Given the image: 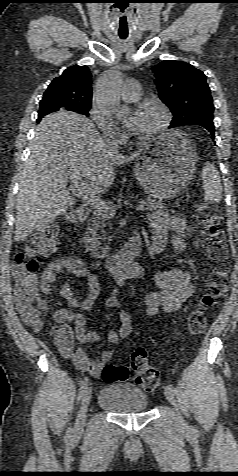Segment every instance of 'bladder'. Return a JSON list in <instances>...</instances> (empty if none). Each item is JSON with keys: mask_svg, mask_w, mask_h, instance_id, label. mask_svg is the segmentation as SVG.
I'll list each match as a JSON object with an SVG mask.
<instances>
[{"mask_svg": "<svg viewBox=\"0 0 238 476\" xmlns=\"http://www.w3.org/2000/svg\"><path fill=\"white\" fill-rule=\"evenodd\" d=\"M98 404L116 414H133L147 410L149 402L140 387L110 382L101 389Z\"/></svg>", "mask_w": 238, "mask_h": 476, "instance_id": "31cf9c89", "label": "bladder"}]
</instances>
